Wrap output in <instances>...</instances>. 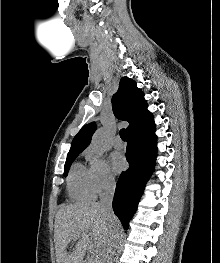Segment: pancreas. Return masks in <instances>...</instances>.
I'll use <instances>...</instances> for the list:
<instances>
[{
	"label": "pancreas",
	"instance_id": "1",
	"mask_svg": "<svg viewBox=\"0 0 220 263\" xmlns=\"http://www.w3.org/2000/svg\"><path fill=\"white\" fill-rule=\"evenodd\" d=\"M93 263H103V259L97 258V259L94 260Z\"/></svg>",
	"mask_w": 220,
	"mask_h": 263
}]
</instances>
